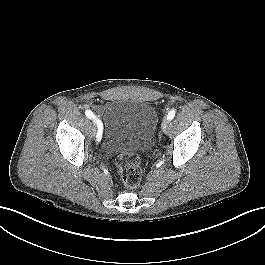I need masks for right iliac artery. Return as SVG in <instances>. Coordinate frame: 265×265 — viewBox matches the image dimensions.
I'll return each mask as SVG.
<instances>
[{
  "mask_svg": "<svg viewBox=\"0 0 265 265\" xmlns=\"http://www.w3.org/2000/svg\"><path fill=\"white\" fill-rule=\"evenodd\" d=\"M85 115L89 118V119H93L95 120L97 126H98V133L96 136L97 141L101 140L102 137V123L99 119H96L95 115L93 114V112L91 110H86L85 111Z\"/></svg>",
  "mask_w": 265,
  "mask_h": 265,
  "instance_id": "right-iliac-artery-1",
  "label": "right iliac artery"
}]
</instances>
